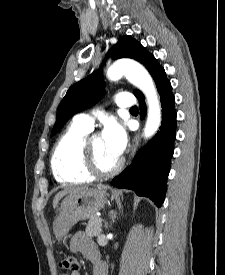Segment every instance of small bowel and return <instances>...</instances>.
<instances>
[{"label":"small bowel","mask_w":225,"mask_h":275,"mask_svg":"<svg viewBox=\"0 0 225 275\" xmlns=\"http://www.w3.org/2000/svg\"><path fill=\"white\" fill-rule=\"evenodd\" d=\"M70 250L73 253L85 255L92 262V275H108L107 265L101 261L97 245L84 232H77L72 236ZM62 275H80V273L72 272Z\"/></svg>","instance_id":"1"}]
</instances>
